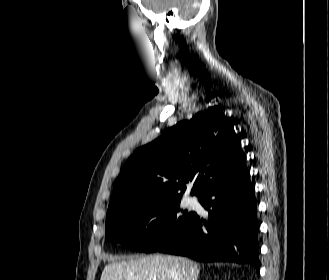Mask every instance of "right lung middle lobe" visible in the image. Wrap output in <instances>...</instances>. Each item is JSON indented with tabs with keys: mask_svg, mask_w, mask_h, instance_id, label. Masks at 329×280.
I'll use <instances>...</instances> for the list:
<instances>
[{
	"mask_svg": "<svg viewBox=\"0 0 329 280\" xmlns=\"http://www.w3.org/2000/svg\"><path fill=\"white\" fill-rule=\"evenodd\" d=\"M180 196H148L107 211L106 238L155 252L180 234L196 215L180 207Z\"/></svg>",
	"mask_w": 329,
	"mask_h": 280,
	"instance_id": "dd1d6c3e",
	"label": "right lung middle lobe"
}]
</instances>
